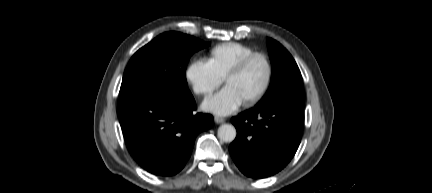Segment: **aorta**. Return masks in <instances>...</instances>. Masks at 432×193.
I'll list each match as a JSON object with an SVG mask.
<instances>
[{"mask_svg": "<svg viewBox=\"0 0 432 193\" xmlns=\"http://www.w3.org/2000/svg\"><path fill=\"white\" fill-rule=\"evenodd\" d=\"M236 129L231 124H222L217 131L218 138L226 143L232 142L236 137Z\"/></svg>", "mask_w": 432, "mask_h": 193, "instance_id": "1", "label": "aorta"}]
</instances>
